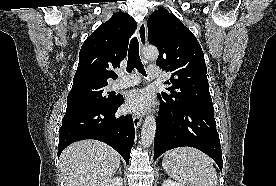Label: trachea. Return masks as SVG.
<instances>
[{
  "label": "trachea",
  "instance_id": "1",
  "mask_svg": "<svg viewBox=\"0 0 276 186\" xmlns=\"http://www.w3.org/2000/svg\"><path fill=\"white\" fill-rule=\"evenodd\" d=\"M136 68L139 73L146 76L143 64L139 56V42L136 37H133L128 50V62H127V72H131L132 69Z\"/></svg>",
  "mask_w": 276,
  "mask_h": 186
}]
</instances>
